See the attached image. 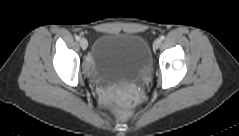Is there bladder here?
I'll list each match as a JSON object with an SVG mask.
<instances>
[{"label": "bladder", "mask_w": 239, "mask_h": 136, "mask_svg": "<svg viewBox=\"0 0 239 136\" xmlns=\"http://www.w3.org/2000/svg\"><path fill=\"white\" fill-rule=\"evenodd\" d=\"M152 66L147 41L140 35L105 32L95 41L92 72L109 80L143 77Z\"/></svg>", "instance_id": "1"}]
</instances>
